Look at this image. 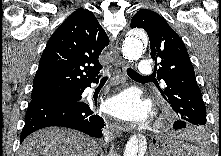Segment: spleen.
Listing matches in <instances>:
<instances>
[{
    "instance_id": "obj_1",
    "label": "spleen",
    "mask_w": 221,
    "mask_h": 156,
    "mask_svg": "<svg viewBox=\"0 0 221 156\" xmlns=\"http://www.w3.org/2000/svg\"><path fill=\"white\" fill-rule=\"evenodd\" d=\"M174 143L187 152L188 156H204L205 154L202 150H199L196 147L182 141H174Z\"/></svg>"
}]
</instances>
